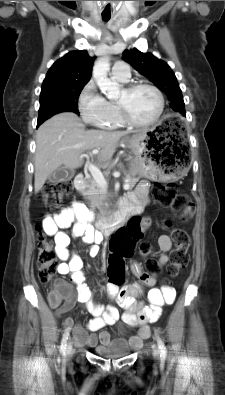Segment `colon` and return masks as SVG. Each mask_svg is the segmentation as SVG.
Segmentation results:
<instances>
[{
	"mask_svg": "<svg viewBox=\"0 0 225 395\" xmlns=\"http://www.w3.org/2000/svg\"><path fill=\"white\" fill-rule=\"evenodd\" d=\"M72 183L69 180H61L46 184L43 190L45 204L50 207L58 208L62 200L71 194ZM152 197L161 206L170 208L173 215L180 221L187 222L194 213V204L190 198L180 193L175 183H157L152 188ZM144 221L143 215H132L131 223H124L123 228H116V234H112L107 250L111 251L107 270L110 276V284L113 288H123L122 279L125 278L127 266L123 260L126 256H134L137 246L143 239V228L141 222ZM165 228L170 229V234L174 243L171 253L168 274L170 277L177 276L189 261L188 250L190 247V236L182 228L171 227L166 222ZM129 245V246H127ZM152 247L148 242H143L138 251L139 256L150 259ZM38 278L41 283H54L55 289L50 292L48 300L51 306L58 307L62 300L74 296L72 288L61 280H55L54 275L58 268L56 252L52 242L42 233L38 235V255H37ZM156 273L155 269L151 270Z\"/></svg>",
	"mask_w": 225,
	"mask_h": 395,
	"instance_id": "obj_1",
	"label": "colon"
}]
</instances>
